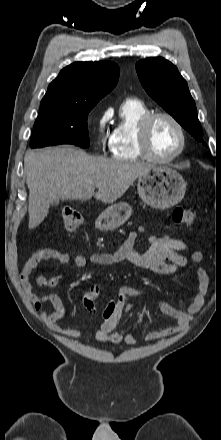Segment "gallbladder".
<instances>
[{
	"label": "gallbladder",
	"instance_id": "1",
	"mask_svg": "<svg viewBox=\"0 0 221 440\" xmlns=\"http://www.w3.org/2000/svg\"><path fill=\"white\" fill-rule=\"evenodd\" d=\"M58 204H59V200H55V201L52 202V205H54V206H56Z\"/></svg>",
	"mask_w": 221,
	"mask_h": 440
}]
</instances>
